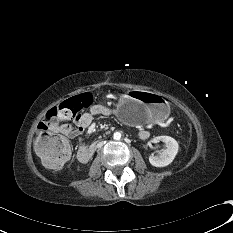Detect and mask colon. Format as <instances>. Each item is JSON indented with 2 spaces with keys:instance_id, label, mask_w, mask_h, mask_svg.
<instances>
[{
  "instance_id": "1",
  "label": "colon",
  "mask_w": 233,
  "mask_h": 233,
  "mask_svg": "<svg viewBox=\"0 0 233 233\" xmlns=\"http://www.w3.org/2000/svg\"><path fill=\"white\" fill-rule=\"evenodd\" d=\"M93 101L92 94L85 92L62 102L39 123L35 141V151L43 164L51 169H60L71 157V145L62 135L50 130L51 121L56 118L70 119L89 107Z\"/></svg>"
}]
</instances>
